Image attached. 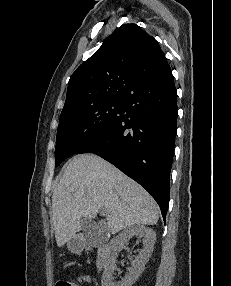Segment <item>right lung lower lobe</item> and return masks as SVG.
Wrapping results in <instances>:
<instances>
[{
  "instance_id": "98d812e1",
  "label": "right lung lower lobe",
  "mask_w": 231,
  "mask_h": 286,
  "mask_svg": "<svg viewBox=\"0 0 231 286\" xmlns=\"http://www.w3.org/2000/svg\"><path fill=\"white\" fill-rule=\"evenodd\" d=\"M124 114L79 153H94L143 186L165 219L177 131V93L172 73L133 88Z\"/></svg>"
}]
</instances>
